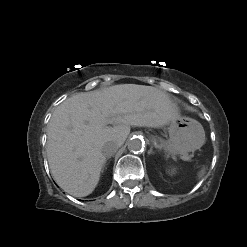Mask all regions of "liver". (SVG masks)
Segmentation results:
<instances>
[{
	"mask_svg": "<svg viewBox=\"0 0 247 247\" xmlns=\"http://www.w3.org/2000/svg\"><path fill=\"white\" fill-rule=\"evenodd\" d=\"M177 114L169 96L152 86L120 84L73 95L48 124L46 151L54 180L74 197L91 194L106 162L105 143L121 146L131 126L162 127Z\"/></svg>",
	"mask_w": 247,
	"mask_h": 247,
	"instance_id": "liver-1",
	"label": "liver"
}]
</instances>
